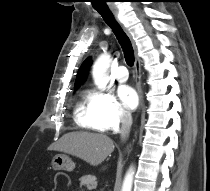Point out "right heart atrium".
<instances>
[{
  "label": "right heart atrium",
  "mask_w": 210,
  "mask_h": 191,
  "mask_svg": "<svg viewBox=\"0 0 210 191\" xmlns=\"http://www.w3.org/2000/svg\"><path fill=\"white\" fill-rule=\"evenodd\" d=\"M90 103L97 119L105 130L117 131L130 121L128 111L111 93L93 92L90 96Z\"/></svg>",
  "instance_id": "1"
}]
</instances>
